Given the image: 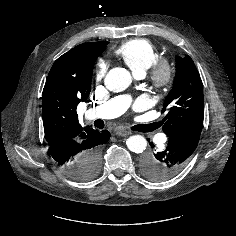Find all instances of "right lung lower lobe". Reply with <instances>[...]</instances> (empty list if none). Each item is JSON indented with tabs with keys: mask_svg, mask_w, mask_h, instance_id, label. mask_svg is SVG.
<instances>
[{
	"mask_svg": "<svg viewBox=\"0 0 236 236\" xmlns=\"http://www.w3.org/2000/svg\"><path fill=\"white\" fill-rule=\"evenodd\" d=\"M110 138L107 130L89 133L82 140H71L49 146V153L56 163L72 178L77 179L88 154L99 155L100 148Z\"/></svg>",
	"mask_w": 236,
	"mask_h": 236,
	"instance_id": "right-lung-lower-lobe-1",
	"label": "right lung lower lobe"
}]
</instances>
